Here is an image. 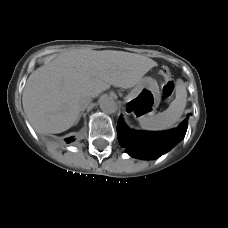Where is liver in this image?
I'll use <instances>...</instances> for the list:
<instances>
[{
	"instance_id": "6515ba94",
	"label": "liver",
	"mask_w": 228,
	"mask_h": 228,
	"mask_svg": "<svg viewBox=\"0 0 228 228\" xmlns=\"http://www.w3.org/2000/svg\"><path fill=\"white\" fill-rule=\"evenodd\" d=\"M157 63L124 51L74 50L62 53L29 76L22 104L38 133H61L77 121L81 95L97 97L110 86L137 85Z\"/></svg>"
}]
</instances>
